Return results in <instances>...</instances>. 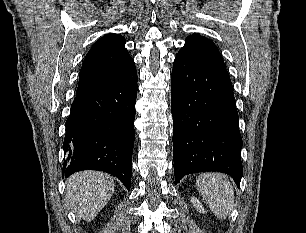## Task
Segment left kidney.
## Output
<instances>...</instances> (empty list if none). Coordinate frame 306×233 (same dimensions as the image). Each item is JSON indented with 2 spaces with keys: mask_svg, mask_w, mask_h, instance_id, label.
Listing matches in <instances>:
<instances>
[{
  "mask_svg": "<svg viewBox=\"0 0 306 233\" xmlns=\"http://www.w3.org/2000/svg\"><path fill=\"white\" fill-rule=\"evenodd\" d=\"M191 202L193 204V207L196 208L197 211H199L200 213H203V214L206 213L203 205L201 204V202L197 198L191 197Z\"/></svg>",
  "mask_w": 306,
  "mask_h": 233,
  "instance_id": "1",
  "label": "left kidney"
}]
</instances>
